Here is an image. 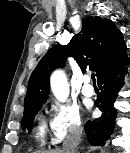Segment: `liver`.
Segmentation results:
<instances>
[{
	"label": "liver",
	"instance_id": "1",
	"mask_svg": "<svg viewBox=\"0 0 130 153\" xmlns=\"http://www.w3.org/2000/svg\"><path fill=\"white\" fill-rule=\"evenodd\" d=\"M44 153H65V152H64V150L57 149V150L46 151Z\"/></svg>",
	"mask_w": 130,
	"mask_h": 153
}]
</instances>
